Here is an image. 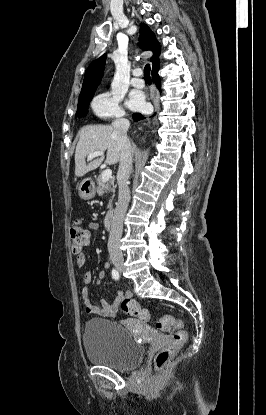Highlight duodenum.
Returning <instances> with one entry per match:
<instances>
[{
  "label": "duodenum",
  "instance_id": "410a0bca",
  "mask_svg": "<svg viewBox=\"0 0 266 415\" xmlns=\"http://www.w3.org/2000/svg\"><path fill=\"white\" fill-rule=\"evenodd\" d=\"M113 221H114V215L113 212H109L106 214L104 218V226L107 230L112 229L113 227Z\"/></svg>",
  "mask_w": 266,
  "mask_h": 415
}]
</instances>
